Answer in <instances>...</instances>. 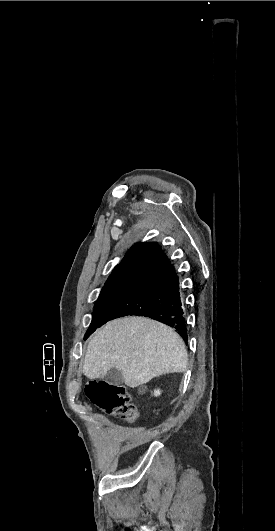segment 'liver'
I'll list each match as a JSON object with an SVG mask.
<instances>
[{
	"label": "liver",
	"instance_id": "1",
	"mask_svg": "<svg viewBox=\"0 0 275 531\" xmlns=\"http://www.w3.org/2000/svg\"><path fill=\"white\" fill-rule=\"evenodd\" d=\"M187 363L185 343L171 327L146 317H124L93 333L83 373L87 379H102L116 367L125 385L134 389L165 373H184Z\"/></svg>",
	"mask_w": 275,
	"mask_h": 531
}]
</instances>
